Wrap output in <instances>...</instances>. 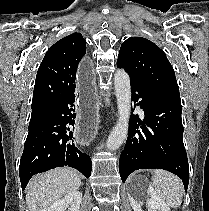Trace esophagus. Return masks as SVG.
I'll list each match as a JSON object with an SVG mask.
<instances>
[{
	"label": "esophagus",
	"mask_w": 209,
	"mask_h": 211,
	"mask_svg": "<svg viewBox=\"0 0 209 211\" xmlns=\"http://www.w3.org/2000/svg\"><path fill=\"white\" fill-rule=\"evenodd\" d=\"M81 60L82 64L75 75L78 79V89L74 93V98L77 99L73 102L76 112L74 141H79V145H90L94 133L98 130L99 105L96 89H94L95 82H93L95 79L93 59L91 56H82Z\"/></svg>",
	"instance_id": "esophagus-1"
}]
</instances>
